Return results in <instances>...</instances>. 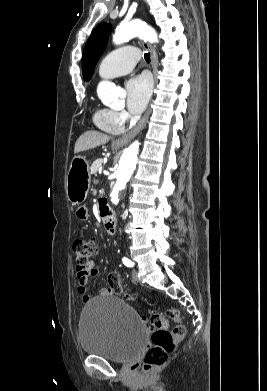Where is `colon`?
<instances>
[{"label":"colon","instance_id":"1","mask_svg":"<svg viewBox=\"0 0 267 391\" xmlns=\"http://www.w3.org/2000/svg\"><path fill=\"white\" fill-rule=\"evenodd\" d=\"M73 252L76 259V268L85 270L93 264V258L98 252V245L94 240L77 239L73 243ZM107 279L110 292L114 294L122 293L117 272H110ZM125 297L132 299L130 294H126ZM170 319L179 322L180 312L175 308H170L164 313L149 311L145 317L148 328L152 333V344L143 359V369L146 372H152L162 366L185 336L186 329L181 324L169 329Z\"/></svg>","mask_w":267,"mask_h":391}]
</instances>
